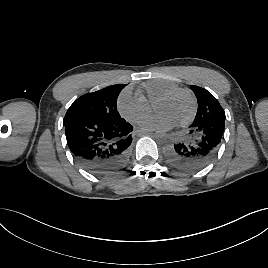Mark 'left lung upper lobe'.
Returning <instances> with one entry per match:
<instances>
[{"label": "left lung upper lobe", "mask_w": 268, "mask_h": 268, "mask_svg": "<svg viewBox=\"0 0 268 268\" xmlns=\"http://www.w3.org/2000/svg\"><path fill=\"white\" fill-rule=\"evenodd\" d=\"M196 95L198 110L190 129L210 124L218 119L225 120V112L218 100L206 89L192 85L190 87Z\"/></svg>", "instance_id": "obj_1"}]
</instances>
